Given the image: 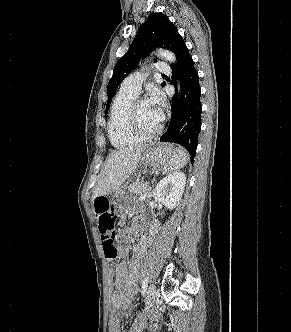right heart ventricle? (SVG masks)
<instances>
[{"mask_svg":"<svg viewBox=\"0 0 291 332\" xmlns=\"http://www.w3.org/2000/svg\"><path fill=\"white\" fill-rule=\"evenodd\" d=\"M137 94L120 89L113 100L108 122V135L113 146L123 148L142 141L128 126V112Z\"/></svg>","mask_w":291,"mask_h":332,"instance_id":"e07e8e85","label":"right heart ventricle"}]
</instances>
